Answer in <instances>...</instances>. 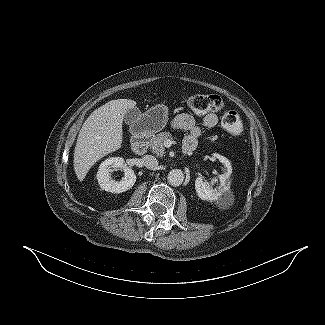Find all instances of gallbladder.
<instances>
[{
    "label": "gallbladder",
    "mask_w": 325,
    "mask_h": 325,
    "mask_svg": "<svg viewBox=\"0 0 325 325\" xmlns=\"http://www.w3.org/2000/svg\"><path fill=\"white\" fill-rule=\"evenodd\" d=\"M140 110L137 107H133L131 109H128L125 116L124 120L128 125L133 124L140 116Z\"/></svg>",
    "instance_id": "bac80fb5"
}]
</instances>
